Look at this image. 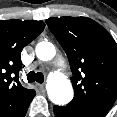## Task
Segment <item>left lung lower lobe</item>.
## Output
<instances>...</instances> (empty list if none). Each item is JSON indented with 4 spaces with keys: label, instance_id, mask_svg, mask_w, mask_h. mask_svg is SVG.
<instances>
[{
    "label": "left lung lower lobe",
    "instance_id": "obj_1",
    "mask_svg": "<svg viewBox=\"0 0 117 117\" xmlns=\"http://www.w3.org/2000/svg\"><path fill=\"white\" fill-rule=\"evenodd\" d=\"M54 113L56 117H104L105 113L89 111L87 109L67 106H54Z\"/></svg>",
    "mask_w": 117,
    "mask_h": 117
}]
</instances>
